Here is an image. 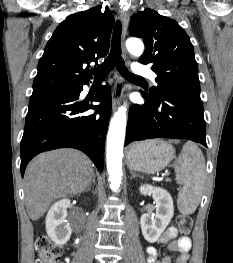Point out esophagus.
I'll return each mask as SVG.
<instances>
[{
  "instance_id": "34e87169",
  "label": "esophagus",
  "mask_w": 233,
  "mask_h": 263,
  "mask_svg": "<svg viewBox=\"0 0 233 263\" xmlns=\"http://www.w3.org/2000/svg\"><path fill=\"white\" fill-rule=\"evenodd\" d=\"M120 19L122 22V38L123 41L125 39L127 28L129 24V12L127 10L121 9L119 11ZM125 50V49H124ZM125 56V54H124ZM124 87H123V80L120 77H117L116 82L113 87L112 91V108L113 110L116 109L117 105L119 104L120 98L123 94Z\"/></svg>"
}]
</instances>
